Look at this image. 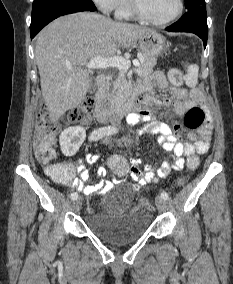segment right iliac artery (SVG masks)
<instances>
[{"instance_id": "obj_1", "label": "right iliac artery", "mask_w": 233, "mask_h": 284, "mask_svg": "<svg viewBox=\"0 0 233 284\" xmlns=\"http://www.w3.org/2000/svg\"><path fill=\"white\" fill-rule=\"evenodd\" d=\"M117 129L115 127L112 126H106V127H101L98 128L94 131L91 132L90 136H89V140L90 141H97L105 136H109L112 135L114 133H116ZM70 198L72 200H75L78 198V194L76 192L71 193Z\"/></svg>"}]
</instances>
